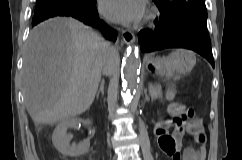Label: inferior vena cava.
<instances>
[{
	"label": "inferior vena cava",
	"instance_id": "inferior-vena-cava-1",
	"mask_svg": "<svg viewBox=\"0 0 242 160\" xmlns=\"http://www.w3.org/2000/svg\"><path fill=\"white\" fill-rule=\"evenodd\" d=\"M107 51H108V60L105 63V68H99V73H118V68H114V63H117L119 60V52L117 47H110L107 44Z\"/></svg>",
	"mask_w": 242,
	"mask_h": 160
}]
</instances>
